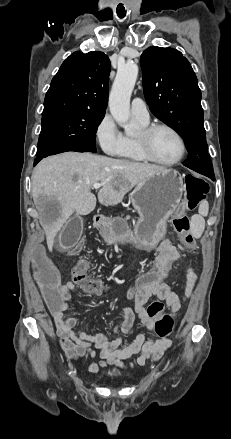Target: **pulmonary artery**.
<instances>
[{
    "mask_svg": "<svg viewBox=\"0 0 231 439\" xmlns=\"http://www.w3.org/2000/svg\"><path fill=\"white\" fill-rule=\"evenodd\" d=\"M131 114L135 119L142 122L149 121V111L145 102L140 98H134L131 102Z\"/></svg>",
    "mask_w": 231,
    "mask_h": 439,
    "instance_id": "1",
    "label": "pulmonary artery"
}]
</instances>
